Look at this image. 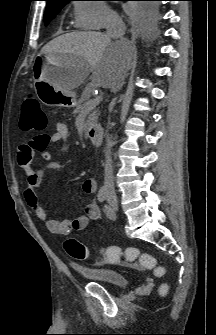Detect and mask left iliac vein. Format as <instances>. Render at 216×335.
I'll return each instance as SVG.
<instances>
[{
  "instance_id": "obj_1",
  "label": "left iliac vein",
  "mask_w": 216,
  "mask_h": 335,
  "mask_svg": "<svg viewBox=\"0 0 216 335\" xmlns=\"http://www.w3.org/2000/svg\"><path fill=\"white\" fill-rule=\"evenodd\" d=\"M111 206H112V216H111V218L114 219V218H115V212H116L117 209H118L117 202H116V201H113V202L111 203Z\"/></svg>"
}]
</instances>
